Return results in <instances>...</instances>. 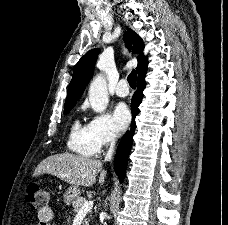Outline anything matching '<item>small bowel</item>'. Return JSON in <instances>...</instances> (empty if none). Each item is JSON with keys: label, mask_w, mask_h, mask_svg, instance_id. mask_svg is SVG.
<instances>
[{"label": "small bowel", "mask_w": 228, "mask_h": 225, "mask_svg": "<svg viewBox=\"0 0 228 225\" xmlns=\"http://www.w3.org/2000/svg\"><path fill=\"white\" fill-rule=\"evenodd\" d=\"M53 211L46 208L38 213V225H52Z\"/></svg>", "instance_id": "1"}]
</instances>
